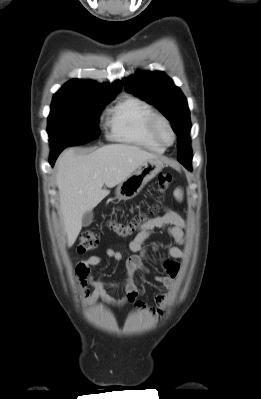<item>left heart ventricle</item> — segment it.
<instances>
[{
    "label": "left heart ventricle",
    "mask_w": 261,
    "mask_h": 399,
    "mask_svg": "<svg viewBox=\"0 0 261 399\" xmlns=\"http://www.w3.org/2000/svg\"><path fill=\"white\" fill-rule=\"evenodd\" d=\"M158 130H159V133H160L162 139L165 142L169 143L172 141V134H171L170 130L168 129V127L163 122L159 123Z\"/></svg>",
    "instance_id": "b2bd125f"
}]
</instances>
